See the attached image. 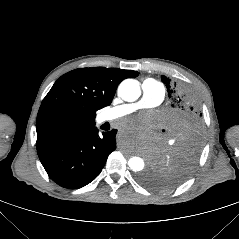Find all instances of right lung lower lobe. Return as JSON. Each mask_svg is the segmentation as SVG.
<instances>
[{"mask_svg": "<svg viewBox=\"0 0 239 239\" xmlns=\"http://www.w3.org/2000/svg\"><path fill=\"white\" fill-rule=\"evenodd\" d=\"M117 130L98 135L95 127L75 130L64 136L37 143L39 159L58 185L78 189L93 181L116 149Z\"/></svg>", "mask_w": 239, "mask_h": 239, "instance_id": "98d812e1", "label": "right lung lower lobe"}]
</instances>
